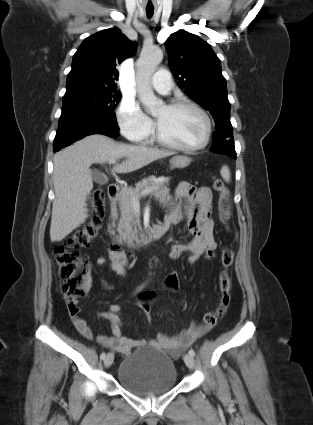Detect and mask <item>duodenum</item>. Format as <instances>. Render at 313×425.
I'll return each instance as SVG.
<instances>
[{
    "instance_id": "duodenum-1",
    "label": "duodenum",
    "mask_w": 313,
    "mask_h": 425,
    "mask_svg": "<svg viewBox=\"0 0 313 425\" xmlns=\"http://www.w3.org/2000/svg\"><path fill=\"white\" fill-rule=\"evenodd\" d=\"M107 193L111 204V213L114 214L115 202L119 193L118 186L116 184H110L107 188ZM166 230L167 227L164 224L155 225L147 232H143L142 234H140L136 243L128 247H123L117 239L111 236L109 239V247L112 250L127 251L129 253H132L135 249L148 244L152 240L160 239L166 233Z\"/></svg>"
}]
</instances>
